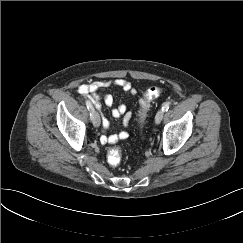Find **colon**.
<instances>
[{
	"label": "colon",
	"mask_w": 243,
	"mask_h": 243,
	"mask_svg": "<svg viewBox=\"0 0 243 243\" xmlns=\"http://www.w3.org/2000/svg\"><path fill=\"white\" fill-rule=\"evenodd\" d=\"M162 92V89L159 87H150L144 93V96L139 102V121L143 122L148 109L150 108L151 102L153 99L158 97ZM122 152L120 147L115 146L112 147L107 154L108 163L113 166L117 167L121 163Z\"/></svg>",
	"instance_id": "1"
}]
</instances>
